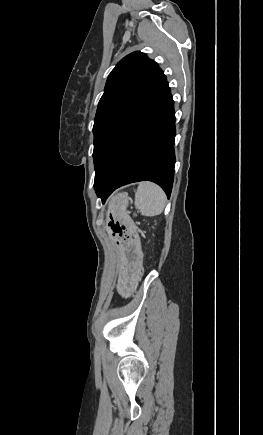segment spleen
I'll use <instances>...</instances> for the list:
<instances>
[{
  "instance_id": "1",
  "label": "spleen",
  "mask_w": 263,
  "mask_h": 435,
  "mask_svg": "<svg viewBox=\"0 0 263 435\" xmlns=\"http://www.w3.org/2000/svg\"><path fill=\"white\" fill-rule=\"evenodd\" d=\"M166 202L164 191L152 182H141L135 194V206L144 216H155L163 212Z\"/></svg>"
}]
</instances>
